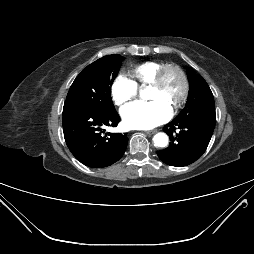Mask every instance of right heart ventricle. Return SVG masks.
<instances>
[{
    "label": "right heart ventricle",
    "mask_w": 254,
    "mask_h": 254,
    "mask_svg": "<svg viewBox=\"0 0 254 254\" xmlns=\"http://www.w3.org/2000/svg\"><path fill=\"white\" fill-rule=\"evenodd\" d=\"M161 66H163L162 63L146 61L133 66L129 70V76L137 87H144L151 83Z\"/></svg>",
    "instance_id": "obj_1"
}]
</instances>
